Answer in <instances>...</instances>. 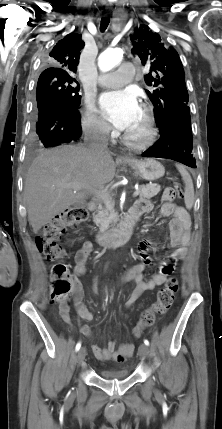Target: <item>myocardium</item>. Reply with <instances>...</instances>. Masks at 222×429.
Masks as SVG:
<instances>
[{"label":"myocardium","instance_id":"myocardium-1","mask_svg":"<svg viewBox=\"0 0 222 429\" xmlns=\"http://www.w3.org/2000/svg\"><path fill=\"white\" fill-rule=\"evenodd\" d=\"M140 109L144 116V126L138 133L125 132L123 139L125 143L134 149H145L151 146L157 136V127L153 110L150 105L142 103Z\"/></svg>","mask_w":222,"mask_h":429}]
</instances>
